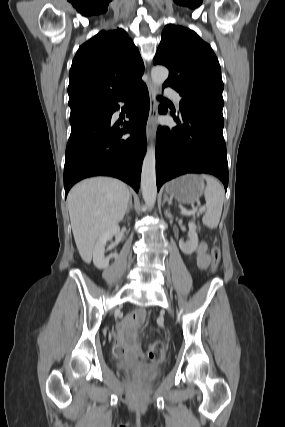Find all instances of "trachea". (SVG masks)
<instances>
[{"instance_id":"obj_1","label":"trachea","mask_w":285,"mask_h":427,"mask_svg":"<svg viewBox=\"0 0 285 427\" xmlns=\"http://www.w3.org/2000/svg\"><path fill=\"white\" fill-rule=\"evenodd\" d=\"M159 99H164V98H162V97H158Z\"/></svg>"}]
</instances>
